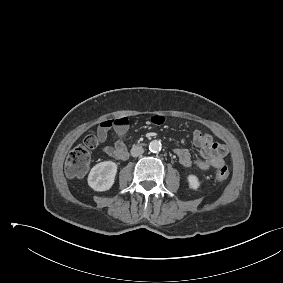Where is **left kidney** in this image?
Returning <instances> with one entry per match:
<instances>
[{"label": "left kidney", "mask_w": 283, "mask_h": 283, "mask_svg": "<svg viewBox=\"0 0 283 283\" xmlns=\"http://www.w3.org/2000/svg\"><path fill=\"white\" fill-rule=\"evenodd\" d=\"M189 187L193 190H197L200 187V181L196 175L190 174L187 177Z\"/></svg>", "instance_id": "left-kidney-1"}]
</instances>
